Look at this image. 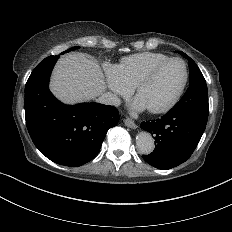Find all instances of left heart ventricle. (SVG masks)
Listing matches in <instances>:
<instances>
[{
  "mask_svg": "<svg viewBox=\"0 0 232 232\" xmlns=\"http://www.w3.org/2000/svg\"><path fill=\"white\" fill-rule=\"evenodd\" d=\"M184 80V68L179 62H170L145 82L136 98L147 108L157 109L167 104Z\"/></svg>",
  "mask_w": 232,
  "mask_h": 232,
  "instance_id": "left-heart-ventricle-1",
  "label": "left heart ventricle"
}]
</instances>
